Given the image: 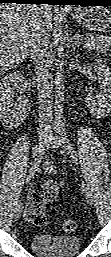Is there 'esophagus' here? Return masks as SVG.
<instances>
[{
  "label": "esophagus",
  "instance_id": "1",
  "mask_svg": "<svg viewBox=\"0 0 111 257\" xmlns=\"http://www.w3.org/2000/svg\"><path fill=\"white\" fill-rule=\"evenodd\" d=\"M60 9H61V10H66V9H67V7H60Z\"/></svg>",
  "mask_w": 111,
  "mask_h": 257
}]
</instances>
